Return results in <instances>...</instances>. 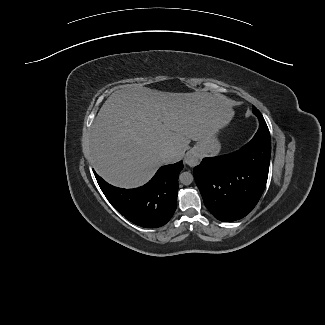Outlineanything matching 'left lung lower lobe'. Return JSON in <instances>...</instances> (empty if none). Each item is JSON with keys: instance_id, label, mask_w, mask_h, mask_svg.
Listing matches in <instances>:
<instances>
[{"instance_id": "obj_1", "label": "left lung lower lobe", "mask_w": 325, "mask_h": 325, "mask_svg": "<svg viewBox=\"0 0 325 325\" xmlns=\"http://www.w3.org/2000/svg\"><path fill=\"white\" fill-rule=\"evenodd\" d=\"M253 139L240 150L204 158L193 170L205 206L220 221L245 217L259 201L268 178L271 139L262 114Z\"/></svg>"}]
</instances>
